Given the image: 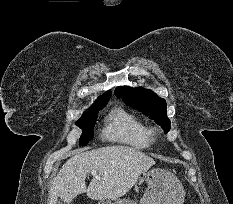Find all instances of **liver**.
I'll return each mask as SVG.
<instances>
[{
    "instance_id": "obj_1",
    "label": "liver",
    "mask_w": 233,
    "mask_h": 204,
    "mask_svg": "<svg viewBox=\"0 0 233 204\" xmlns=\"http://www.w3.org/2000/svg\"><path fill=\"white\" fill-rule=\"evenodd\" d=\"M154 164L146 154L122 145L77 153L53 179L48 204H57L58 198L69 204L83 193L92 200H115L125 195L141 173ZM93 170L96 175L86 188V176Z\"/></svg>"
}]
</instances>
